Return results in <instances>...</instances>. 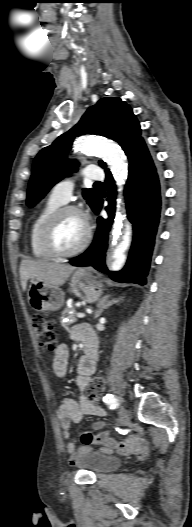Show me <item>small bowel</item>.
<instances>
[{"label":"small bowel","instance_id":"obj_1","mask_svg":"<svg viewBox=\"0 0 192 527\" xmlns=\"http://www.w3.org/2000/svg\"><path fill=\"white\" fill-rule=\"evenodd\" d=\"M72 338L85 344V353L79 361L76 377L77 388L84 395L78 401L70 397H65L58 408V416L65 440L71 439L70 426L72 423L80 422L86 415L97 417L105 415L104 409L98 402H94L88 397V392L94 381L92 374L95 370L97 359V341L95 334L88 325H78L72 331ZM68 359V347L65 344L58 345L54 352L53 370L60 378L65 377L67 374ZM105 426V422L97 421L93 425L95 431L82 432L81 445H77L76 440L69 441L67 448L70 454V464H76L79 457L86 453L93 444L104 445L105 451L118 448L122 452L127 453L129 460H134L136 455L140 457L147 455L148 447L142 439L136 436H130L122 441H116L112 438L109 431H102ZM112 432H116V429H112Z\"/></svg>","mask_w":192,"mask_h":527}]
</instances>
